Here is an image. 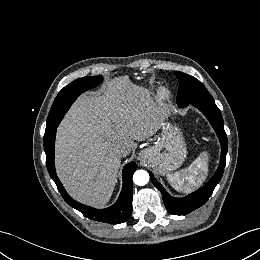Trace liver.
I'll use <instances>...</instances> for the list:
<instances>
[{
    "label": "liver",
    "mask_w": 260,
    "mask_h": 260,
    "mask_svg": "<svg viewBox=\"0 0 260 260\" xmlns=\"http://www.w3.org/2000/svg\"><path fill=\"white\" fill-rule=\"evenodd\" d=\"M95 96H83L61 133L58 157L62 177L75 195L105 205L117 184L121 157L118 144L129 151L134 140L153 136L159 126L150 119L151 104L143 87L115 82ZM132 94H135L132 96Z\"/></svg>",
    "instance_id": "1"
}]
</instances>
